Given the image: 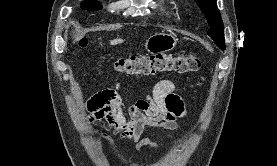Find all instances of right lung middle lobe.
I'll return each mask as SVG.
<instances>
[{
    "label": "right lung middle lobe",
    "instance_id": "dd1d6c3e",
    "mask_svg": "<svg viewBox=\"0 0 277 166\" xmlns=\"http://www.w3.org/2000/svg\"><path fill=\"white\" fill-rule=\"evenodd\" d=\"M82 9L89 10V11H96L101 9V5L97 1L87 0L82 3Z\"/></svg>",
    "mask_w": 277,
    "mask_h": 166
}]
</instances>
